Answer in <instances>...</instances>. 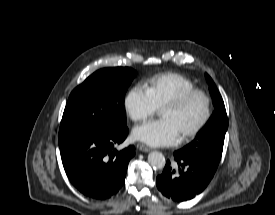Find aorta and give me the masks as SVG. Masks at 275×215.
I'll list each match as a JSON object with an SVG mask.
<instances>
[{
    "label": "aorta",
    "instance_id": "obj_1",
    "mask_svg": "<svg viewBox=\"0 0 275 215\" xmlns=\"http://www.w3.org/2000/svg\"><path fill=\"white\" fill-rule=\"evenodd\" d=\"M148 162L155 169H162L165 166V157L162 153L154 151L148 155Z\"/></svg>",
    "mask_w": 275,
    "mask_h": 215
}]
</instances>
